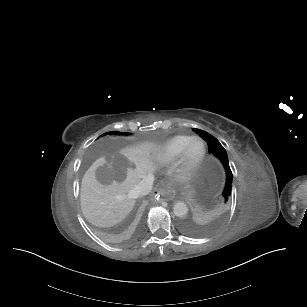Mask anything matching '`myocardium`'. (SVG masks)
Instances as JSON below:
<instances>
[{
  "mask_svg": "<svg viewBox=\"0 0 307 307\" xmlns=\"http://www.w3.org/2000/svg\"><path fill=\"white\" fill-rule=\"evenodd\" d=\"M199 142L203 146L202 154L195 160H191L189 157V151L191 146ZM207 145L200 138H191L189 142L184 147L181 155L169 166L168 173L170 177L176 180H186L193 173H195L204 163L207 156Z\"/></svg>",
  "mask_w": 307,
  "mask_h": 307,
  "instance_id": "1",
  "label": "myocardium"
}]
</instances>
